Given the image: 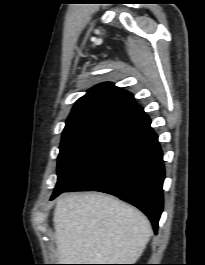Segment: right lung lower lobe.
I'll list each match as a JSON object with an SVG mask.
<instances>
[{
	"label": "right lung lower lobe",
	"mask_w": 205,
	"mask_h": 265,
	"mask_svg": "<svg viewBox=\"0 0 205 265\" xmlns=\"http://www.w3.org/2000/svg\"><path fill=\"white\" fill-rule=\"evenodd\" d=\"M165 170L158 136L144 114L130 123L62 192L100 191L142 210L155 233L163 210Z\"/></svg>",
	"instance_id": "right-lung-lower-lobe-1"
}]
</instances>
